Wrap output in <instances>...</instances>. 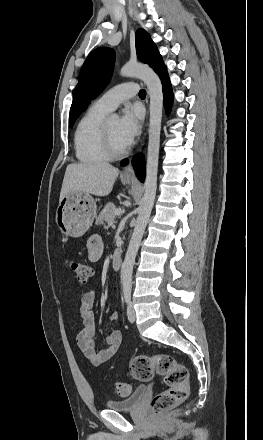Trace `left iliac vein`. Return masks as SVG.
I'll return each instance as SVG.
<instances>
[{
    "label": "left iliac vein",
    "mask_w": 263,
    "mask_h": 440,
    "mask_svg": "<svg viewBox=\"0 0 263 440\" xmlns=\"http://www.w3.org/2000/svg\"><path fill=\"white\" fill-rule=\"evenodd\" d=\"M127 317L130 323H134L136 320V313L131 302H129L127 307Z\"/></svg>",
    "instance_id": "1"
}]
</instances>
